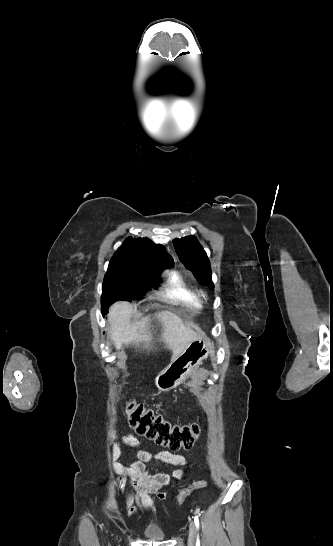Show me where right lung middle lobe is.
<instances>
[{"mask_svg": "<svg viewBox=\"0 0 333 546\" xmlns=\"http://www.w3.org/2000/svg\"><path fill=\"white\" fill-rule=\"evenodd\" d=\"M158 285V273L150 275L131 272L122 264L110 262L102 287V312L106 313L109 306L117 300L131 301L150 287L156 289Z\"/></svg>", "mask_w": 333, "mask_h": 546, "instance_id": "right-lung-middle-lobe-1", "label": "right lung middle lobe"}]
</instances>
